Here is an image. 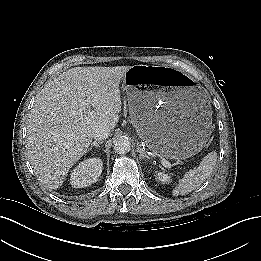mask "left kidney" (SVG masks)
Masks as SVG:
<instances>
[{"instance_id": "obj_1", "label": "left kidney", "mask_w": 261, "mask_h": 261, "mask_svg": "<svg viewBox=\"0 0 261 261\" xmlns=\"http://www.w3.org/2000/svg\"><path fill=\"white\" fill-rule=\"evenodd\" d=\"M156 179H158L159 181L163 182V183H169L170 182V176H168V174H165L163 172H159L156 174Z\"/></svg>"}]
</instances>
